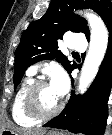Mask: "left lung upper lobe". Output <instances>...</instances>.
<instances>
[{
    "mask_svg": "<svg viewBox=\"0 0 112 135\" xmlns=\"http://www.w3.org/2000/svg\"><path fill=\"white\" fill-rule=\"evenodd\" d=\"M93 9L107 24L112 18L110 0H52L44 16L29 24L23 32L15 51L14 87L20 83L25 70L35 62L54 59L70 73L76 64H71L58 49L57 40L66 31L83 32L89 40L87 21L73 14L74 9Z\"/></svg>",
    "mask_w": 112,
    "mask_h": 135,
    "instance_id": "5c2ea615",
    "label": "left lung upper lobe"
}]
</instances>
